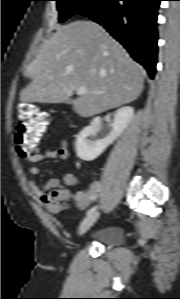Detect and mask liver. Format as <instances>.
Returning <instances> with one entry per match:
<instances>
[{
    "label": "liver",
    "instance_id": "6515ba94",
    "mask_svg": "<svg viewBox=\"0 0 180 299\" xmlns=\"http://www.w3.org/2000/svg\"><path fill=\"white\" fill-rule=\"evenodd\" d=\"M25 76L31 82L21 90L20 101L26 103L66 102L78 87H85L89 93L72 100L82 117L128 104L143 90L142 67L92 21L58 27L43 43Z\"/></svg>",
    "mask_w": 180,
    "mask_h": 299
}]
</instances>
